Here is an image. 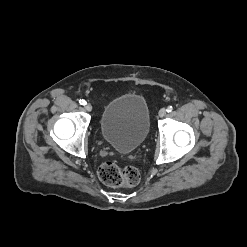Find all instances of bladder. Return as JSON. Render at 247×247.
<instances>
[{"label": "bladder", "mask_w": 247, "mask_h": 247, "mask_svg": "<svg viewBox=\"0 0 247 247\" xmlns=\"http://www.w3.org/2000/svg\"><path fill=\"white\" fill-rule=\"evenodd\" d=\"M150 129L149 107L141 95L127 93L112 99L100 118L103 139L120 153H131L146 139Z\"/></svg>", "instance_id": "1"}]
</instances>
